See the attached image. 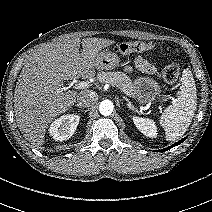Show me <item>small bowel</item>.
Here are the masks:
<instances>
[{"instance_id": "small-bowel-1", "label": "small bowel", "mask_w": 212, "mask_h": 212, "mask_svg": "<svg viewBox=\"0 0 212 212\" xmlns=\"http://www.w3.org/2000/svg\"><path fill=\"white\" fill-rule=\"evenodd\" d=\"M136 67L141 70L142 72H146L149 74H154L156 72V68L150 64L147 60L139 57L135 61ZM126 70L129 71L130 67H126Z\"/></svg>"}]
</instances>
